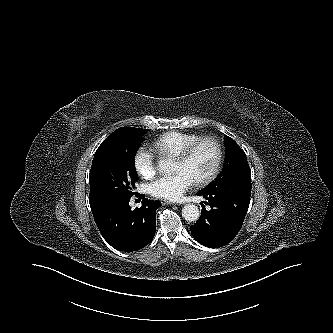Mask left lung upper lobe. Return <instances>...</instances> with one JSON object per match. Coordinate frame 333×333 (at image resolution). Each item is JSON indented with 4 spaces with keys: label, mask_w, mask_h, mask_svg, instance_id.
Wrapping results in <instances>:
<instances>
[{
    "label": "left lung upper lobe",
    "mask_w": 333,
    "mask_h": 333,
    "mask_svg": "<svg viewBox=\"0 0 333 333\" xmlns=\"http://www.w3.org/2000/svg\"><path fill=\"white\" fill-rule=\"evenodd\" d=\"M226 160L222 173L203 190H216L228 196L250 201L251 171L245 152L225 135Z\"/></svg>",
    "instance_id": "left-lung-upper-lobe-1"
}]
</instances>
